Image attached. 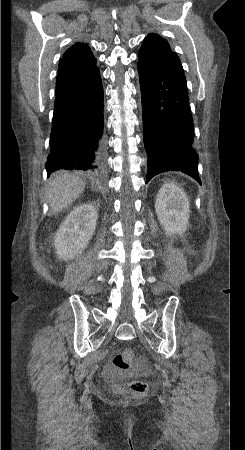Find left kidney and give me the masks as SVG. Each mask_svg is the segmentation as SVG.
Returning <instances> with one entry per match:
<instances>
[{"label":"left kidney","mask_w":245,"mask_h":450,"mask_svg":"<svg viewBox=\"0 0 245 450\" xmlns=\"http://www.w3.org/2000/svg\"><path fill=\"white\" fill-rule=\"evenodd\" d=\"M155 211L166 235H181L186 231L190 204L182 189L173 183H166L160 188Z\"/></svg>","instance_id":"obj_1"}]
</instances>
